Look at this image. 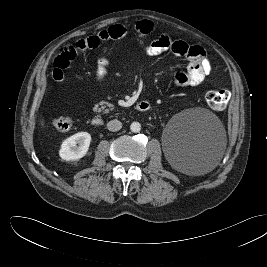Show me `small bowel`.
I'll return each instance as SVG.
<instances>
[{
    "instance_id": "obj_1",
    "label": "small bowel",
    "mask_w": 267,
    "mask_h": 267,
    "mask_svg": "<svg viewBox=\"0 0 267 267\" xmlns=\"http://www.w3.org/2000/svg\"><path fill=\"white\" fill-rule=\"evenodd\" d=\"M136 34L140 40L144 51L151 56L160 55L164 52H172L176 56L184 57L188 61L186 70L175 74L174 84L178 87L198 86L203 83L212 71L211 63L201 46L190 45L182 40H172L167 35H161L157 39L147 43L144 38L153 29V22L150 20H140L136 23ZM127 28L121 24L111 25L96 34L77 40L72 45L62 48L56 57L53 65V77L56 81L63 79V71L68 67L71 60L76 57L78 51L95 49L102 42L108 40H119L126 37ZM109 60L101 58L96 67L98 79L105 77L108 71Z\"/></svg>"
}]
</instances>
